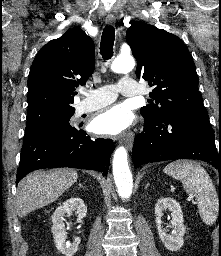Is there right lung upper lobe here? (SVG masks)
Masks as SVG:
<instances>
[{"label":"right lung upper lobe","instance_id":"1","mask_svg":"<svg viewBox=\"0 0 221 256\" xmlns=\"http://www.w3.org/2000/svg\"><path fill=\"white\" fill-rule=\"evenodd\" d=\"M94 61L93 40L80 28L49 41L37 53L30 69L27 113L74 108L75 90L85 85L94 72Z\"/></svg>","mask_w":221,"mask_h":256}]
</instances>
